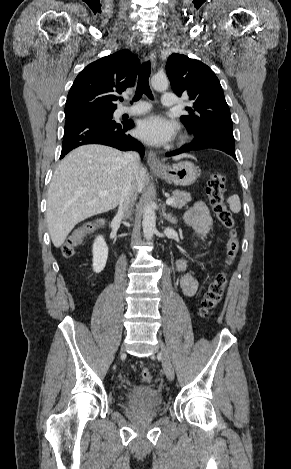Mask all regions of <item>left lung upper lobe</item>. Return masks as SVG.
<instances>
[{
  "label": "left lung upper lobe",
  "mask_w": 291,
  "mask_h": 469,
  "mask_svg": "<svg viewBox=\"0 0 291 469\" xmlns=\"http://www.w3.org/2000/svg\"><path fill=\"white\" fill-rule=\"evenodd\" d=\"M167 76L174 92L187 94L193 106L181 122L195 136L207 131L233 133L232 119L224 93L215 73L201 61L173 53L167 60Z\"/></svg>",
  "instance_id": "1"
}]
</instances>
